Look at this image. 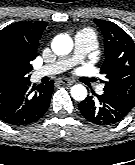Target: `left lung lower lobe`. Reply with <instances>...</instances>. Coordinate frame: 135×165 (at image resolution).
I'll list each match as a JSON object with an SVG mask.
<instances>
[{"mask_svg": "<svg viewBox=\"0 0 135 165\" xmlns=\"http://www.w3.org/2000/svg\"><path fill=\"white\" fill-rule=\"evenodd\" d=\"M90 96L79 103L83 116L96 124H112L121 121L130 111L131 107L123 103L111 93Z\"/></svg>", "mask_w": 135, "mask_h": 165, "instance_id": "1", "label": "left lung lower lobe"}]
</instances>
